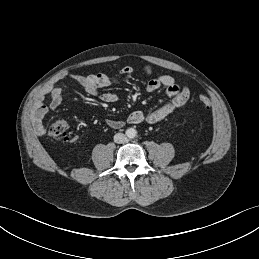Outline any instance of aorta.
<instances>
[{"mask_svg":"<svg viewBox=\"0 0 259 259\" xmlns=\"http://www.w3.org/2000/svg\"><path fill=\"white\" fill-rule=\"evenodd\" d=\"M126 135L128 138L132 139V138L136 137L137 131L134 128H129L126 130Z\"/></svg>","mask_w":259,"mask_h":259,"instance_id":"1","label":"aorta"}]
</instances>
